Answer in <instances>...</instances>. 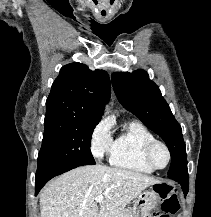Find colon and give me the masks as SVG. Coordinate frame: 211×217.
I'll return each instance as SVG.
<instances>
[{"instance_id":"5ec220e1","label":"colon","mask_w":211,"mask_h":217,"mask_svg":"<svg viewBox=\"0 0 211 217\" xmlns=\"http://www.w3.org/2000/svg\"><path fill=\"white\" fill-rule=\"evenodd\" d=\"M157 192L162 198L160 217H172L180 209V204L176 193L168 185H160Z\"/></svg>"}]
</instances>
